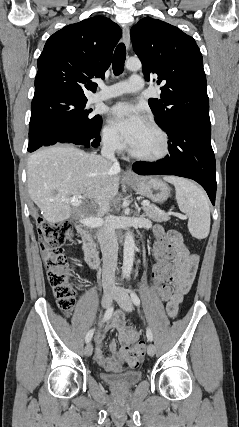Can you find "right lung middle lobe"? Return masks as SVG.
<instances>
[{
    "label": "right lung middle lobe",
    "mask_w": 239,
    "mask_h": 427,
    "mask_svg": "<svg viewBox=\"0 0 239 427\" xmlns=\"http://www.w3.org/2000/svg\"><path fill=\"white\" fill-rule=\"evenodd\" d=\"M87 99L53 95L36 98L31 104L28 149L41 144L46 136L68 135L74 140H86L99 124L100 115H89Z\"/></svg>",
    "instance_id": "right-lung-middle-lobe-1"
}]
</instances>
